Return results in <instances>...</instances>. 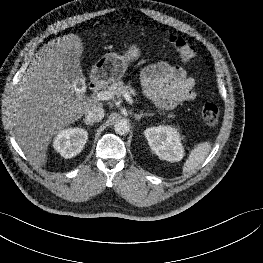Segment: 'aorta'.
Here are the masks:
<instances>
[{
	"instance_id": "762f6f07",
	"label": "aorta",
	"mask_w": 263,
	"mask_h": 263,
	"mask_svg": "<svg viewBox=\"0 0 263 263\" xmlns=\"http://www.w3.org/2000/svg\"><path fill=\"white\" fill-rule=\"evenodd\" d=\"M114 130L119 135H125L130 130L129 122L126 119H119L114 124Z\"/></svg>"
}]
</instances>
